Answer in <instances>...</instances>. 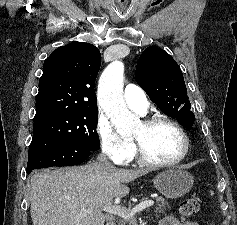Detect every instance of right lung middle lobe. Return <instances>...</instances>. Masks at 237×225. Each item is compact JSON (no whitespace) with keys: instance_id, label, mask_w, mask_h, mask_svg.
I'll use <instances>...</instances> for the list:
<instances>
[{"instance_id":"right-lung-middle-lobe-1","label":"right lung middle lobe","mask_w":237,"mask_h":225,"mask_svg":"<svg viewBox=\"0 0 237 225\" xmlns=\"http://www.w3.org/2000/svg\"><path fill=\"white\" fill-rule=\"evenodd\" d=\"M98 110L67 113L34 121V136L60 139L96 151L100 143L96 132Z\"/></svg>"}]
</instances>
